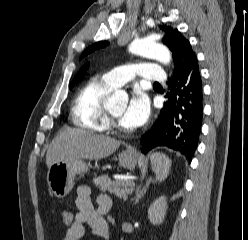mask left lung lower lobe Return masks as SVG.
Here are the masks:
<instances>
[{
    "instance_id": "obj_1",
    "label": "left lung lower lobe",
    "mask_w": 248,
    "mask_h": 240,
    "mask_svg": "<svg viewBox=\"0 0 248 240\" xmlns=\"http://www.w3.org/2000/svg\"><path fill=\"white\" fill-rule=\"evenodd\" d=\"M169 101L161 118L141 140V151L167 146L191 162L202 127L203 90L196 55L169 81Z\"/></svg>"
}]
</instances>
